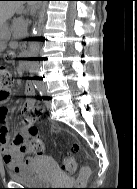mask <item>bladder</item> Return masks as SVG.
Masks as SVG:
<instances>
[{
	"instance_id": "31cf9c89",
	"label": "bladder",
	"mask_w": 137,
	"mask_h": 189,
	"mask_svg": "<svg viewBox=\"0 0 137 189\" xmlns=\"http://www.w3.org/2000/svg\"><path fill=\"white\" fill-rule=\"evenodd\" d=\"M58 175V164L50 156H39L34 164L9 172L11 180L31 186L46 185Z\"/></svg>"
}]
</instances>
